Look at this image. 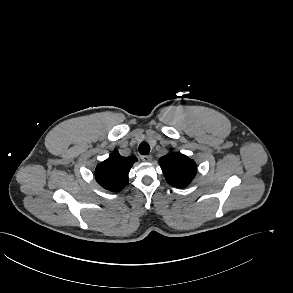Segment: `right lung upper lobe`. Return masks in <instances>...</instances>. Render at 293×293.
Here are the masks:
<instances>
[{"label": "right lung upper lobe", "instance_id": "cb5924a9", "mask_svg": "<svg viewBox=\"0 0 293 293\" xmlns=\"http://www.w3.org/2000/svg\"><path fill=\"white\" fill-rule=\"evenodd\" d=\"M137 161L134 156L123 157L117 150L95 169L97 182L110 191H120L128 184V173Z\"/></svg>", "mask_w": 293, "mask_h": 293}]
</instances>
